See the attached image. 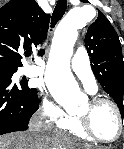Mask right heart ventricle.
<instances>
[{
	"label": "right heart ventricle",
	"mask_w": 124,
	"mask_h": 149,
	"mask_svg": "<svg viewBox=\"0 0 124 149\" xmlns=\"http://www.w3.org/2000/svg\"><path fill=\"white\" fill-rule=\"evenodd\" d=\"M63 128L80 139L91 140V138L82 130L78 118L76 117H72L69 123Z\"/></svg>",
	"instance_id": "e07e8e85"
}]
</instances>
